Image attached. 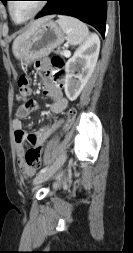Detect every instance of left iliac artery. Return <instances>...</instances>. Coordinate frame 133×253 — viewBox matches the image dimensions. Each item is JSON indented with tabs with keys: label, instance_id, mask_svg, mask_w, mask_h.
Wrapping results in <instances>:
<instances>
[{
	"label": "left iliac artery",
	"instance_id": "1",
	"mask_svg": "<svg viewBox=\"0 0 133 253\" xmlns=\"http://www.w3.org/2000/svg\"><path fill=\"white\" fill-rule=\"evenodd\" d=\"M48 169H49V166L44 167L43 169H41V170L39 171V174L44 173V172L47 171Z\"/></svg>",
	"mask_w": 133,
	"mask_h": 253
}]
</instances>
